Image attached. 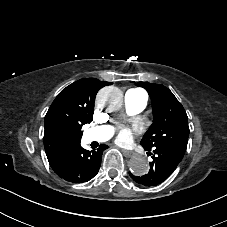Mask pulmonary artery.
Instances as JSON below:
<instances>
[{
	"mask_svg": "<svg viewBox=\"0 0 227 227\" xmlns=\"http://www.w3.org/2000/svg\"><path fill=\"white\" fill-rule=\"evenodd\" d=\"M150 97L149 90L144 86L132 88L124 95L125 106L129 111L139 112L147 105ZM112 135V127L109 125L93 126L85 131L84 138L87 143L105 142Z\"/></svg>",
	"mask_w": 227,
	"mask_h": 227,
	"instance_id": "e3ab8cb5",
	"label": "pulmonary artery"
}]
</instances>
